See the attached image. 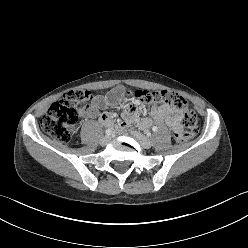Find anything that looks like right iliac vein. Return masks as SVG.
<instances>
[{
    "mask_svg": "<svg viewBox=\"0 0 248 248\" xmlns=\"http://www.w3.org/2000/svg\"><path fill=\"white\" fill-rule=\"evenodd\" d=\"M109 141H110V137L109 136H104V137H102L100 139V144L102 146H105V145H107L109 143Z\"/></svg>",
    "mask_w": 248,
    "mask_h": 248,
    "instance_id": "obj_1",
    "label": "right iliac vein"
}]
</instances>
